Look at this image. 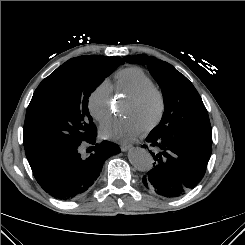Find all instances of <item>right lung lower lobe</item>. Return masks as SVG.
<instances>
[{"mask_svg": "<svg viewBox=\"0 0 245 245\" xmlns=\"http://www.w3.org/2000/svg\"><path fill=\"white\" fill-rule=\"evenodd\" d=\"M96 135L76 147L52 153L31 166L42 189L58 199H73L85 194L98 178L103 162L120 152L116 144L103 141L96 144ZM83 147L91 152L82 155Z\"/></svg>", "mask_w": 245, "mask_h": 245, "instance_id": "right-lung-lower-lobe-1", "label": "right lung lower lobe"}]
</instances>
